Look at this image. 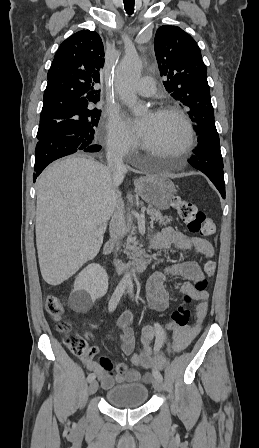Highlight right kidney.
<instances>
[{
	"mask_svg": "<svg viewBox=\"0 0 259 448\" xmlns=\"http://www.w3.org/2000/svg\"><path fill=\"white\" fill-rule=\"evenodd\" d=\"M108 290V276L100 264H89L78 274L74 290L69 296V306L78 312L85 314L92 308L95 300L105 296Z\"/></svg>",
	"mask_w": 259,
	"mask_h": 448,
	"instance_id": "1",
	"label": "right kidney"
}]
</instances>
